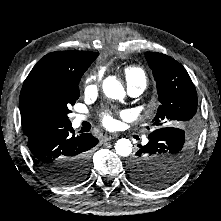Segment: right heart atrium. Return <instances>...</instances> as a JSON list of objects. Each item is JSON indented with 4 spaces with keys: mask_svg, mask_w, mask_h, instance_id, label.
Segmentation results:
<instances>
[{
    "mask_svg": "<svg viewBox=\"0 0 221 221\" xmlns=\"http://www.w3.org/2000/svg\"><path fill=\"white\" fill-rule=\"evenodd\" d=\"M101 83V76L97 72L89 74L84 81L85 92L90 94L96 91Z\"/></svg>",
    "mask_w": 221,
    "mask_h": 221,
    "instance_id": "d8ad5b80",
    "label": "right heart atrium"
}]
</instances>
